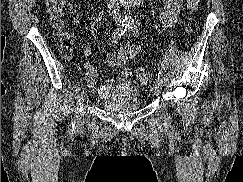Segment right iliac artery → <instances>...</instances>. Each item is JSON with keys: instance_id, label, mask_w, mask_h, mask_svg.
Here are the masks:
<instances>
[{"instance_id": "obj_1", "label": "right iliac artery", "mask_w": 243, "mask_h": 182, "mask_svg": "<svg viewBox=\"0 0 243 182\" xmlns=\"http://www.w3.org/2000/svg\"><path fill=\"white\" fill-rule=\"evenodd\" d=\"M127 27H128V24H127V23H122V24L115 30V32H114V37H117V38L121 37V36L125 33V31L127 30ZM80 83H81V81H80V80H77V82H76V84H75V86H74V89H75V92H76V93H79V91L81 90V88H80ZM75 123H76L75 120H73V121L70 123L69 127H70V130H71V131L74 130Z\"/></svg>"}]
</instances>
